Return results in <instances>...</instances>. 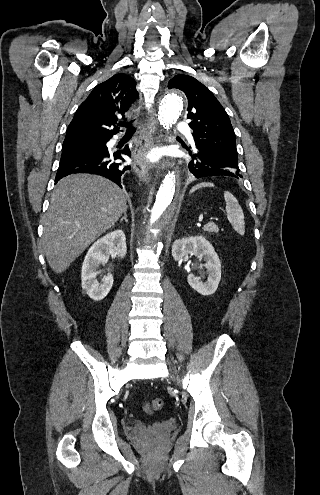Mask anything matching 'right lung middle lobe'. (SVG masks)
<instances>
[{"mask_svg": "<svg viewBox=\"0 0 320 495\" xmlns=\"http://www.w3.org/2000/svg\"><path fill=\"white\" fill-rule=\"evenodd\" d=\"M105 142L104 138H87L79 140L64 141L62 147H87V146H101Z\"/></svg>", "mask_w": 320, "mask_h": 495, "instance_id": "dd1d6c3e", "label": "right lung middle lobe"}]
</instances>
